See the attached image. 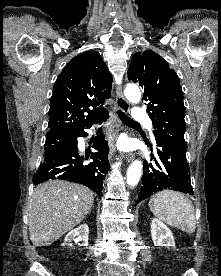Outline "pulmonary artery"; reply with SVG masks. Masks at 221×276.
I'll return each instance as SVG.
<instances>
[{"mask_svg": "<svg viewBox=\"0 0 221 276\" xmlns=\"http://www.w3.org/2000/svg\"><path fill=\"white\" fill-rule=\"evenodd\" d=\"M132 116L135 121L145 122L148 120L146 112L139 107L133 109Z\"/></svg>", "mask_w": 221, "mask_h": 276, "instance_id": "e3ab8cb5", "label": "pulmonary artery"}]
</instances>
